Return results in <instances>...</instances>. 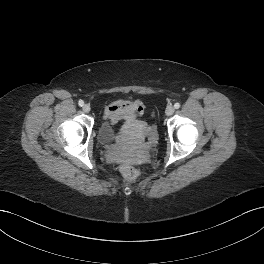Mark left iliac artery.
<instances>
[{
    "mask_svg": "<svg viewBox=\"0 0 264 264\" xmlns=\"http://www.w3.org/2000/svg\"><path fill=\"white\" fill-rule=\"evenodd\" d=\"M174 107H175V109H178V108H180V104L179 103H175Z\"/></svg>",
    "mask_w": 264,
    "mask_h": 264,
    "instance_id": "left-iliac-artery-1",
    "label": "left iliac artery"
}]
</instances>
